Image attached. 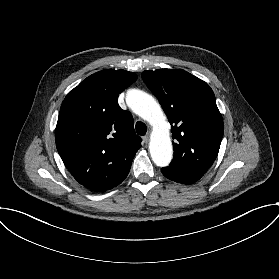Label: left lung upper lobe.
<instances>
[{
    "label": "left lung upper lobe",
    "instance_id": "obj_1",
    "mask_svg": "<svg viewBox=\"0 0 279 279\" xmlns=\"http://www.w3.org/2000/svg\"><path fill=\"white\" fill-rule=\"evenodd\" d=\"M142 79L159 99L176 140L168 168L201 178L215 161L223 137L212 89L181 69L144 71Z\"/></svg>",
    "mask_w": 279,
    "mask_h": 279
}]
</instances>
